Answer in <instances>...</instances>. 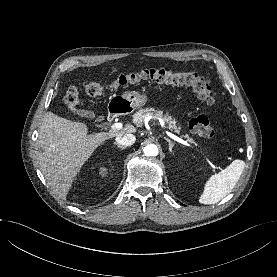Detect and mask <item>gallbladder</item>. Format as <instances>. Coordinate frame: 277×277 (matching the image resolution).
Returning <instances> with one entry per match:
<instances>
[{
    "mask_svg": "<svg viewBox=\"0 0 277 277\" xmlns=\"http://www.w3.org/2000/svg\"><path fill=\"white\" fill-rule=\"evenodd\" d=\"M75 114L79 115L80 117L85 118H95L96 114L93 111L85 110V109H76L74 111Z\"/></svg>",
    "mask_w": 277,
    "mask_h": 277,
    "instance_id": "gallbladder-1",
    "label": "gallbladder"
}]
</instances>
